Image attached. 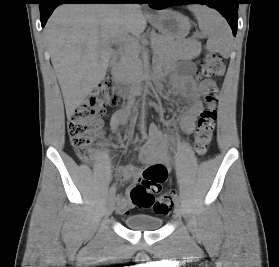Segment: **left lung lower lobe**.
<instances>
[{
    "label": "left lung lower lobe",
    "instance_id": "left-lung-lower-lobe-1",
    "mask_svg": "<svg viewBox=\"0 0 279 267\" xmlns=\"http://www.w3.org/2000/svg\"><path fill=\"white\" fill-rule=\"evenodd\" d=\"M152 8L163 9L177 4H206L217 9L228 21L233 35H236L238 22V4L239 0H148Z\"/></svg>",
    "mask_w": 279,
    "mask_h": 267
}]
</instances>
